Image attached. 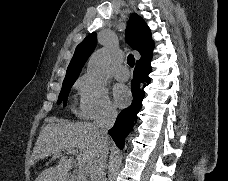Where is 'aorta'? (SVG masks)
<instances>
[{"label": "aorta", "mask_w": 228, "mask_h": 181, "mask_svg": "<svg viewBox=\"0 0 228 181\" xmlns=\"http://www.w3.org/2000/svg\"><path fill=\"white\" fill-rule=\"evenodd\" d=\"M110 62V51L107 48H102L94 52L87 65L88 75L98 81L104 80L107 68Z\"/></svg>", "instance_id": "1"}]
</instances>
